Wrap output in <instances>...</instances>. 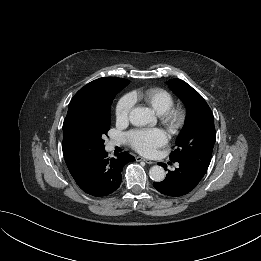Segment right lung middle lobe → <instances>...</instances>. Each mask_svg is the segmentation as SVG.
I'll use <instances>...</instances> for the list:
<instances>
[{
  "mask_svg": "<svg viewBox=\"0 0 261 261\" xmlns=\"http://www.w3.org/2000/svg\"><path fill=\"white\" fill-rule=\"evenodd\" d=\"M129 82L124 79L114 87L108 98L93 103L69 120L64 132V142L69 154L84 159L105 149L104 137L110 129L112 101Z\"/></svg>",
  "mask_w": 261,
  "mask_h": 261,
  "instance_id": "obj_1",
  "label": "right lung middle lobe"
}]
</instances>
